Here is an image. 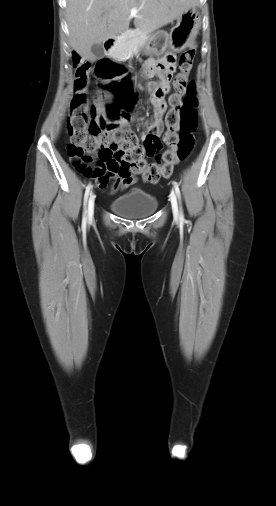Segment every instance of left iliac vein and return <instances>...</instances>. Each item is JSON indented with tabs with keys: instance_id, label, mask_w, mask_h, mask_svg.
<instances>
[{
	"instance_id": "left-iliac-vein-1",
	"label": "left iliac vein",
	"mask_w": 276,
	"mask_h": 506,
	"mask_svg": "<svg viewBox=\"0 0 276 506\" xmlns=\"http://www.w3.org/2000/svg\"><path fill=\"white\" fill-rule=\"evenodd\" d=\"M170 201H171V206H172V211H173V214L175 217L178 216L179 212H178V203H177V198H176V194L174 191H171L170 193Z\"/></svg>"
}]
</instances>
